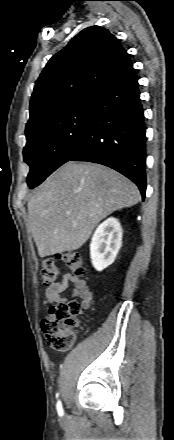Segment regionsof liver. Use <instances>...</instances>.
Segmentation results:
<instances>
[{"mask_svg": "<svg viewBox=\"0 0 174 440\" xmlns=\"http://www.w3.org/2000/svg\"><path fill=\"white\" fill-rule=\"evenodd\" d=\"M140 200L137 186L108 167L68 162L28 201V222L40 257L79 249L109 214Z\"/></svg>", "mask_w": 174, "mask_h": 440, "instance_id": "liver-1", "label": "liver"}]
</instances>
